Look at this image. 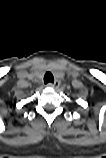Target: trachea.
<instances>
[{
  "instance_id": "obj_1",
  "label": "trachea",
  "mask_w": 106,
  "mask_h": 158,
  "mask_svg": "<svg viewBox=\"0 0 106 158\" xmlns=\"http://www.w3.org/2000/svg\"><path fill=\"white\" fill-rule=\"evenodd\" d=\"M50 82H54V77H53L52 73L47 72L44 76V83L47 84Z\"/></svg>"
}]
</instances>
